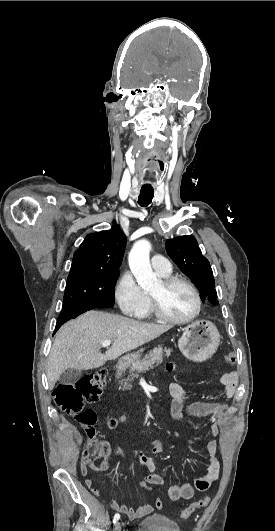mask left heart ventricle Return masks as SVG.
I'll return each instance as SVG.
<instances>
[{
	"mask_svg": "<svg viewBox=\"0 0 275 531\" xmlns=\"http://www.w3.org/2000/svg\"><path fill=\"white\" fill-rule=\"evenodd\" d=\"M151 294L158 298L163 311L173 318L187 317L195 309L194 296L182 283L164 286L160 281Z\"/></svg>",
	"mask_w": 275,
	"mask_h": 531,
	"instance_id": "left-heart-ventricle-1",
	"label": "left heart ventricle"
}]
</instances>
